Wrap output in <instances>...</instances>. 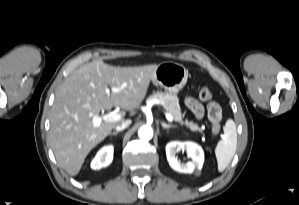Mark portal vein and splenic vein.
Returning <instances> with one entry per match:
<instances>
[{
  "mask_svg": "<svg viewBox=\"0 0 299 205\" xmlns=\"http://www.w3.org/2000/svg\"><path fill=\"white\" fill-rule=\"evenodd\" d=\"M111 90L113 92H118L119 91L118 88H112ZM109 91H110L109 89L106 90L107 93H109ZM165 117L169 122L173 121L172 115L169 114L168 112L165 113ZM120 119H121V115L118 114V113H107V114H104V115H101V116H99V115L94 116L92 118V122H93V125L95 127H99L103 121L104 122H116Z\"/></svg>",
  "mask_w": 299,
  "mask_h": 205,
  "instance_id": "portal-vein-and-splenic-vein-1",
  "label": "portal vein and splenic vein"
}]
</instances>
